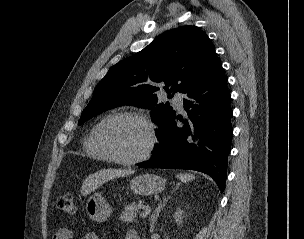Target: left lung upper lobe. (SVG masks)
<instances>
[{"label": "left lung upper lobe", "mask_w": 304, "mask_h": 239, "mask_svg": "<svg viewBox=\"0 0 304 239\" xmlns=\"http://www.w3.org/2000/svg\"><path fill=\"white\" fill-rule=\"evenodd\" d=\"M214 45L196 26H181L163 33L133 56L112 66L97 84L78 125L109 109L132 105L152 110L159 131L175 115L168 104H158L156 93L164 89L186 93L214 57ZM173 93V94H172Z\"/></svg>", "instance_id": "1"}]
</instances>
